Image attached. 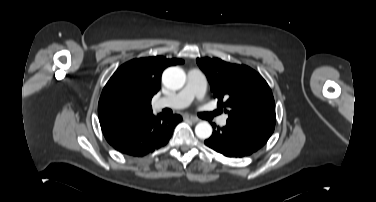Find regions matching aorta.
I'll return each instance as SVG.
<instances>
[{"mask_svg": "<svg viewBox=\"0 0 376 202\" xmlns=\"http://www.w3.org/2000/svg\"><path fill=\"white\" fill-rule=\"evenodd\" d=\"M162 81L167 88L178 90L184 86L186 74L180 67H170L164 71ZM195 134L200 139H207L212 134V127L208 122L202 121L196 125Z\"/></svg>", "mask_w": 376, "mask_h": 202, "instance_id": "1", "label": "aorta"}]
</instances>
